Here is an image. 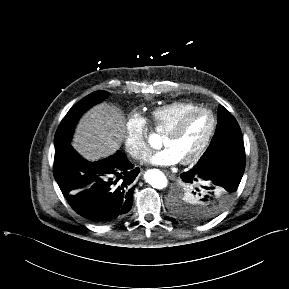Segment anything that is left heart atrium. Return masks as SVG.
Segmentation results:
<instances>
[{
  "label": "left heart atrium",
  "instance_id": "1",
  "mask_svg": "<svg viewBox=\"0 0 289 289\" xmlns=\"http://www.w3.org/2000/svg\"><path fill=\"white\" fill-rule=\"evenodd\" d=\"M148 163L157 166H171L180 161L179 156L169 147H165L160 151L153 153L148 158Z\"/></svg>",
  "mask_w": 289,
  "mask_h": 289
}]
</instances>
